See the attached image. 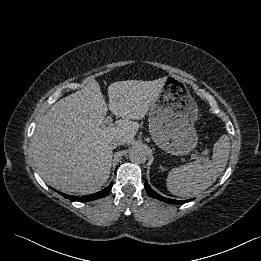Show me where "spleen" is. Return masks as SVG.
Returning a JSON list of instances; mask_svg holds the SVG:
<instances>
[{"instance_id":"obj_1","label":"spleen","mask_w":261,"mask_h":261,"mask_svg":"<svg viewBox=\"0 0 261 261\" xmlns=\"http://www.w3.org/2000/svg\"><path fill=\"white\" fill-rule=\"evenodd\" d=\"M209 150L203 151L207 155ZM230 155V141L227 135H222L214 144L212 160L198 159L193 163L170 170L166 185L176 196L189 197L210 187L223 172Z\"/></svg>"}]
</instances>
